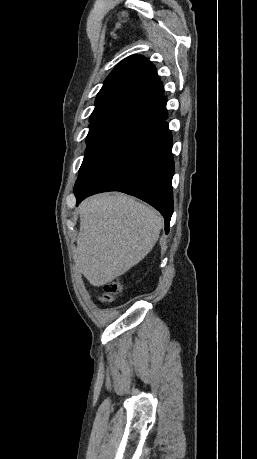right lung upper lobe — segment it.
Masks as SVG:
<instances>
[{
    "label": "right lung upper lobe",
    "mask_w": 257,
    "mask_h": 459,
    "mask_svg": "<svg viewBox=\"0 0 257 459\" xmlns=\"http://www.w3.org/2000/svg\"><path fill=\"white\" fill-rule=\"evenodd\" d=\"M155 66L144 56L122 60L109 74L95 101V112L125 109L142 112L163 98Z\"/></svg>",
    "instance_id": "right-lung-upper-lobe-1"
}]
</instances>
